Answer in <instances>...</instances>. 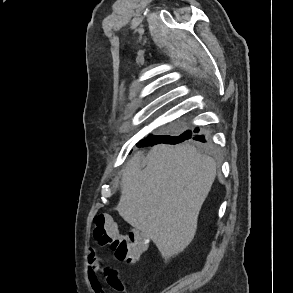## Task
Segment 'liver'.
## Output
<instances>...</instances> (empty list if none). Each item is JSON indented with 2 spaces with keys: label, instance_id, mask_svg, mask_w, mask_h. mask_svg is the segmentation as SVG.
I'll use <instances>...</instances> for the list:
<instances>
[{
  "label": "liver",
  "instance_id": "6515ba94",
  "mask_svg": "<svg viewBox=\"0 0 293 293\" xmlns=\"http://www.w3.org/2000/svg\"><path fill=\"white\" fill-rule=\"evenodd\" d=\"M215 176V160L198 153L195 147L159 144L146 159L138 151L128 161L116 209L169 258L193 240L199 212Z\"/></svg>",
  "mask_w": 293,
  "mask_h": 293
}]
</instances>
